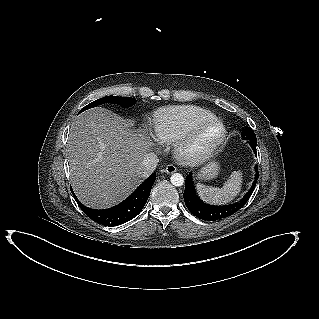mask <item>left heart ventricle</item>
Here are the masks:
<instances>
[{
	"mask_svg": "<svg viewBox=\"0 0 319 319\" xmlns=\"http://www.w3.org/2000/svg\"><path fill=\"white\" fill-rule=\"evenodd\" d=\"M218 134V128L212 127L208 129L202 136L201 141L199 142V145H203L213 139Z\"/></svg>",
	"mask_w": 319,
	"mask_h": 319,
	"instance_id": "b2bd125f",
	"label": "left heart ventricle"
}]
</instances>
